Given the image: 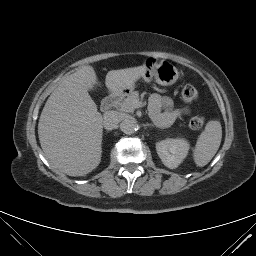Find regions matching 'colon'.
Instances as JSON below:
<instances>
[{"mask_svg":"<svg viewBox=\"0 0 256 256\" xmlns=\"http://www.w3.org/2000/svg\"><path fill=\"white\" fill-rule=\"evenodd\" d=\"M181 98L184 103L189 104L198 98V91L194 86L187 85L181 92ZM205 118L203 116H195L189 120V127L194 130H198L203 127Z\"/></svg>","mask_w":256,"mask_h":256,"instance_id":"1","label":"colon"}]
</instances>
